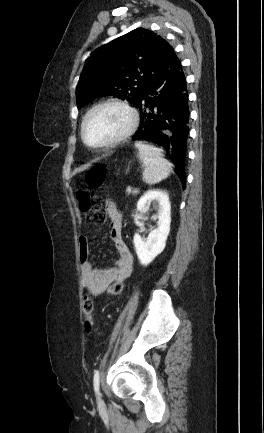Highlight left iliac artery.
<instances>
[{
    "instance_id": "44dca946",
    "label": "left iliac artery",
    "mask_w": 264,
    "mask_h": 433,
    "mask_svg": "<svg viewBox=\"0 0 264 433\" xmlns=\"http://www.w3.org/2000/svg\"><path fill=\"white\" fill-rule=\"evenodd\" d=\"M99 383H100V375H99V371L96 370L94 372V378H93L94 390L96 393L99 392Z\"/></svg>"
}]
</instances>
